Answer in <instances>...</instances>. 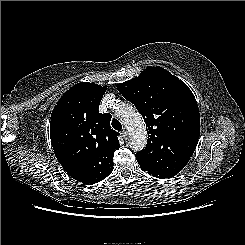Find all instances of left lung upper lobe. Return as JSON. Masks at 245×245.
<instances>
[{"instance_id":"1","label":"left lung upper lobe","mask_w":245,"mask_h":245,"mask_svg":"<svg viewBox=\"0 0 245 245\" xmlns=\"http://www.w3.org/2000/svg\"><path fill=\"white\" fill-rule=\"evenodd\" d=\"M146 123V147L136 153L140 168L161 179L171 178L188 163L200 135V114L188 86L162 67L149 66L117 85Z\"/></svg>"}]
</instances>
